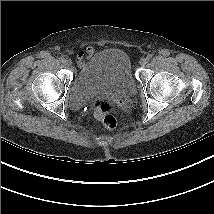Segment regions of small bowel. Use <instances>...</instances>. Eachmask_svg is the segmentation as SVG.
I'll list each match as a JSON object with an SVG mask.
<instances>
[{"label":"small bowel","instance_id":"c3829d8e","mask_svg":"<svg viewBox=\"0 0 214 214\" xmlns=\"http://www.w3.org/2000/svg\"><path fill=\"white\" fill-rule=\"evenodd\" d=\"M96 52V48L93 46H89L86 49L79 51L76 58L78 66L82 67L86 60L92 59L96 55Z\"/></svg>","mask_w":214,"mask_h":214}]
</instances>
